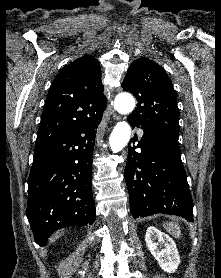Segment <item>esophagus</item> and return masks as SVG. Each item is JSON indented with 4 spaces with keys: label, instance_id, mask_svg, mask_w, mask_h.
Here are the masks:
<instances>
[{
    "label": "esophagus",
    "instance_id": "1",
    "mask_svg": "<svg viewBox=\"0 0 221 278\" xmlns=\"http://www.w3.org/2000/svg\"><path fill=\"white\" fill-rule=\"evenodd\" d=\"M114 119L118 120V119H120V117L117 115H114Z\"/></svg>",
    "mask_w": 221,
    "mask_h": 278
}]
</instances>
